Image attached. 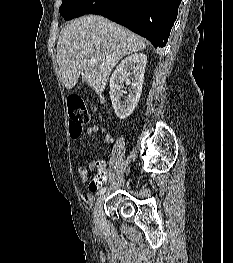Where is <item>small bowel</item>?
I'll return each instance as SVG.
<instances>
[{
	"instance_id": "1",
	"label": "small bowel",
	"mask_w": 233,
	"mask_h": 263,
	"mask_svg": "<svg viewBox=\"0 0 233 263\" xmlns=\"http://www.w3.org/2000/svg\"><path fill=\"white\" fill-rule=\"evenodd\" d=\"M101 133L102 137L101 140L106 146H111L114 143V137L112 134L105 128L99 125H92L87 129V134H95V133ZM98 169V171H105L103 167V163L100 160H93L89 163L88 168H84L79 166L78 172L83 181H87L89 176H90V171ZM98 184H103V183H98ZM90 192L87 193L84 196V201L87 205H92L94 203V195L92 194L95 192L97 189H90Z\"/></svg>"
}]
</instances>
